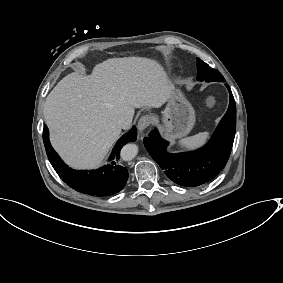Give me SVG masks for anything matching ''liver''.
Returning <instances> with one entry per match:
<instances>
[{"label":"liver","mask_w":283,"mask_h":283,"mask_svg":"<svg viewBox=\"0 0 283 283\" xmlns=\"http://www.w3.org/2000/svg\"><path fill=\"white\" fill-rule=\"evenodd\" d=\"M174 85L155 60L111 58L91 75L65 76L46 98L44 117L54 149L75 169L99 167L135 108L162 106Z\"/></svg>","instance_id":"6515ba94"}]
</instances>
